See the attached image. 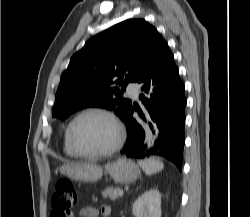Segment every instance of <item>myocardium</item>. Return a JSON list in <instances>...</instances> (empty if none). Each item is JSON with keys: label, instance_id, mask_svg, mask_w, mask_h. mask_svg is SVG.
<instances>
[{"label": "myocardium", "instance_id": "myocardium-1", "mask_svg": "<svg viewBox=\"0 0 250 217\" xmlns=\"http://www.w3.org/2000/svg\"><path fill=\"white\" fill-rule=\"evenodd\" d=\"M89 114H99L104 116L109 120L114 128V141L112 145L102 151L95 153H88L80 150L73 139V129L76 122ZM66 132L68 143L76 155L87 159H99L113 155L122 147L125 139L124 128L118 117L111 110L100 106L88 107L77 113L69 122Z\"/></svg>", "mask_w": 250, "mask_h": 217}]
</instances>
